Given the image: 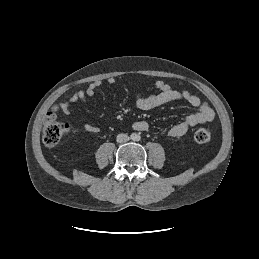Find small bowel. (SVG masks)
<instances>
[{"label":"small bowel","instance_id":"1","mask_svg":"<svg viewBox=\"0 0 259 259\" xmlns=\"http://www.w3.org/2000/svg\"><path fill=\"white\" fill-rule=\"evenodd\" d=\"M107 82L108 84H114L115 79L112 77L108 78ZM101 85L102 82L100 80H96L89 84L85 90L75 91L66 101L61 103L60 107L63 113L69 114L71 112L72 104L77 101H90L94 97L96 90L101 87ZM155 86L158 92L140 93L136 96L135 105L138 109L148 111L174 101H183L196 108V112L187 115L181 122L169 128V136H183L190 128L214 119V110L206 102L201 101L199 97L189 91L176 90L163 80L156 81ZM133 128L137 131H147L149 129V124L146 121H136L133 123ZM84 129L88 132L98 131V128L91 124H85Z\"/></svg>","mask_w":259,"mask_h":259}]
</instances>
